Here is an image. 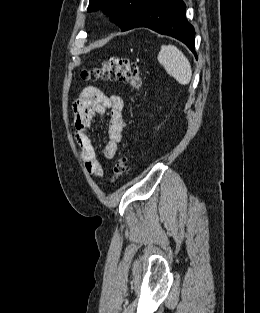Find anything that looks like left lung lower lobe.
Returning <instances> with one entry per match:
<instances>
[{
  "instance_id": "left-lung-lower-lobe-1",
  "label": "left lung lower lobe",
  "mask_w": 260,
  "mask_h": 313,
  "mask_svg": "<svg viewBox=\"0 0 260 313\" xmlns=\"http://www.w3.org/2000/svg\"><path fill=\"white\" fill-rule=\"evenodd\" d=\"M185 11L186 7L182 0H152L125 31L138 27L150 28L180 40L196 56L194 28L186 20Z\"/></svg>"
}]
</instances>
